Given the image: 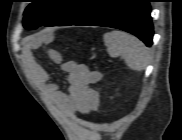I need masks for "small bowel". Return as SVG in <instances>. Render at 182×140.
Wrapping results in <instances>:
<instances>
[{
  "instance_id": "obj_1",
  "label": "small bowel",
  "mask_w": 182,
  "mask_h": 140,
  "mask_svg": "<svg viewBox=\"0 0 182 140\" xmlns=\"http://www.w3.org/2000/svg\"><path fill=\"white\" fill-rule=\"evenodd\" d=\"M50 37L49 33L45 34L46 39ZM48 56L51 61L68 73V87L65 91L60 90L56 83L50 81L44 68L36 60L30 59L29 71L40 89L49 96L54 104L71 116L85 115L95 111L99 106L100 97L92 85L101 80V72L90 70L85 64L77 61L64 62L61 53L55 50L49 51Z\"/></svg>"
}]
</instances>
